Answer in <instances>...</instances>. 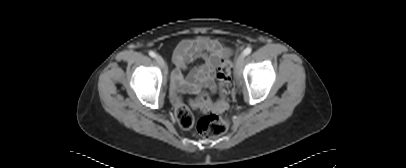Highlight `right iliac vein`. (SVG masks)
Listing matches in <instances>:
<instances>
[{
	"label": "right iliac vein",
	"instance_id": "1",
	"mask_svg": "<svg viewBox=\"0 0 406 168\" xmlns=\"http://www.w3.org/2000/svg\"><path fill=\"white\" fill-rule=\"evenodd\" d=\"M155 58H156L157 63H158L162 68H164V67H165L164 59H163L160 55H156Z\"/></svg>",
	"mask_w": 406,
	"mask_h": 168
}]
</instances>
